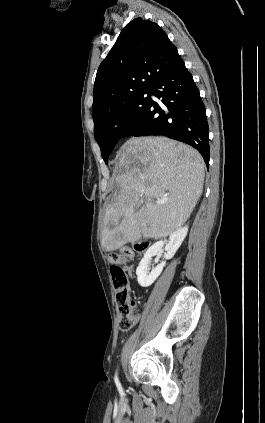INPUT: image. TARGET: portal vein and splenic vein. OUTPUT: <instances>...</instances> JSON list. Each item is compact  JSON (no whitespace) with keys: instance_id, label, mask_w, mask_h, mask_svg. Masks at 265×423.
Returning a JSON list of instances; mask_svg holds the SVG:
<instances>
[{"instance_id":"portal-vein-and-splenic-vein-1","label":"portal vein and splenic vein","mask_w":265,"mask_h":423,"mask_svg":"<svg viewBox=\"0 0 265 423\" xmlns=\"http://www.w3.org/2000/svg\"><path fill=\"white\" fill-rule=\"evenodd\" d=\"M150 200V199H149ZM167 202V198L156 200L155 203L158 205H162Z\"/></svg>"}]
</instances>
